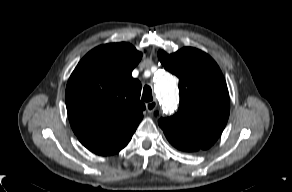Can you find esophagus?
Masks as SVG:
<instances>
[{
	"label": "esophagus",
	"instance_id": "esophagus-1",
	"mask_svg": "<svg viewBox=\"0 0 292 192\" xmlns=\"http://www.w3.org/2000/svg\"><path fill=\"white\" fill-rule=\"evenodd\" d=\"M157 107V102L155 100L146 103V109L149 113H152Z\"/></svg>",
	"mask_w": 292,
	"mask_h": 192
}]
</instances>
